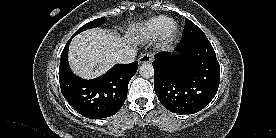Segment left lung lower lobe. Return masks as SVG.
I'll list each match as a JSON object with an SVG mask.
<instances>
[{"mask_svg": "<svg viewBox=\"0 0 276 138\" xmlns=\"http://www.w3.org/2000/svg\"><path fill=\"white\" fill-rule=\"evenodd\" d=\"M154 56V90L161 104L173 113L193 114L214 98L220 66L206 35L183 38L175 49Z\"/></svg>", "mask_w": 276, "mask_h": 138, "instance_id": "0a47b994", "label": "left lung lower lobe"}]
</instances>
